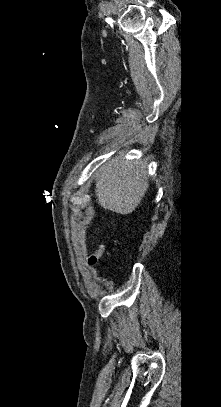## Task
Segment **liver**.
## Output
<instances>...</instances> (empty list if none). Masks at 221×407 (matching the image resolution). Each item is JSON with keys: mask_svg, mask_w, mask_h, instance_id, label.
<instances>
[{"mask_svg": "<svg viewBox=\"0 0 221 407\" xmlns=\"http://www.w3.org/2000/svg\"><path fill=\"white\" fill-rule=\"evenodd\" d=\"M149 188L147 164L116 157L104 164L95 179L98 204L118 214H129L141 203Z\"/></svg>", "mask_w": 221, "mask_h": 407, "instance_id": "liver-1", "label": "liver"}]
</instances>
